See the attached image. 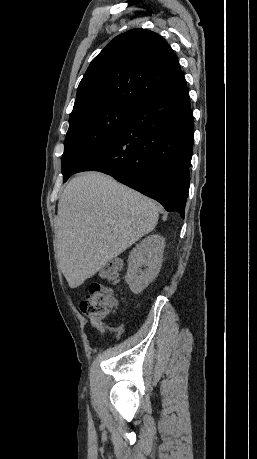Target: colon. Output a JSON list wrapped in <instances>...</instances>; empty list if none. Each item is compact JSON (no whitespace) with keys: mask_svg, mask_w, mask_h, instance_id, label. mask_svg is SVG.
Segmentation results:
<instances>
[{"mask_svg":"<svg viewBox=\"0 0 257 459\" xmlns=\"http://www.w3.org/2000/svg\"><path fill=\"white\" fill-rule=\"evenodd\" d=\"M121 271V264L111 261L101 271L102 277L108 280H117ZM115 305V298L110 289L101 284L93 283L89 286L86 297L80 304L81 311L97 320L105 319Z\"/></svg>","mask_w":257,"mask_h":459,"instance_id":"5ec220e1","label":"colon"}]
</instances>
